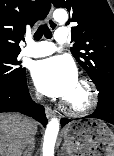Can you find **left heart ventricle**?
I'll return each mask as SVG.
<instances>
[{
    "label": "left heart ventricle",
    "mask_w": 114,
    "mask_h": 156,
    "mask_svg": "<svg viewBox=\"0 0 114 156\" xmlns=\"http://www.w3.org/2000/svg\"><path fill=\"white\" fill-rule=\"evenodd\" d=\"M87 95L85 89L77 82L72 93L66 99L73 106H81L86 102Z\"/></svg>",
    "instance_id": "left-heart-ventricle-1"
}]
</instances>
